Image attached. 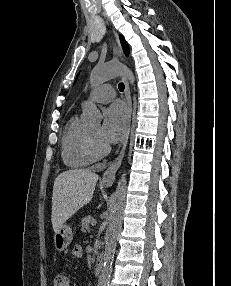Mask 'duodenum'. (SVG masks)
<instances>
[{
  "instance_id": "410a0bca",
  "label": "duodenum",
  "mask_w": 231,
  "mask_h": 286,
  "mask_svg": "<svg viewBox=\"0 0 231 286\" xmlns=\"http://www.w3.org/2000/svg\"><path fill=\"white\" fill-rule=\"evenodd\" d=\"M102 269H103V259L102 257H99L95 265V275L99 276L102 272Z\"/></svg>"
}]
</instances>
